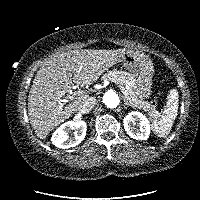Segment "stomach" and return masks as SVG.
<instances>
[{
	"label": "stomach",
	"mask_w": 200,
	"mask_h": 200,
	"mask_svg": "<svg viewBox=\"0 0 200 200\" xmlns=\"http://www.w3.org/2000/svg\"><path fill=\"white\" fill-rule=\"evenodd\" d=\"M134 78V91L139 99L151 94L154 67L151 59L142 51L127 50L119 59Z\"/></svg>",
	"instance_id": "obj_1"
}]
</instances>
